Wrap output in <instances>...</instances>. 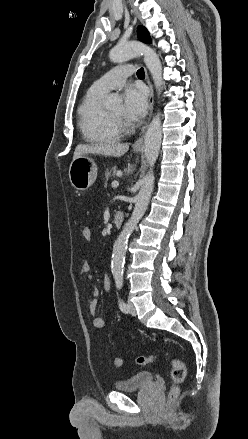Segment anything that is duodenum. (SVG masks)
<instances>
[{
    "label": "duodenum",
    "instance_id": "410a0bca",
    "mask_svg": "<svg viewBox=\"0 0 248 439\" xmlns=\"http://www.w3.org/2000/svg\"><path fill=\"white\" fill-rule=\"evenodd\" d=\"M124 221V213L121 210H117L113 217V223L115 227H120Z\"/></svg>",
    "mask_w": 248,
    "mask_h": 439
}]
</instances>
